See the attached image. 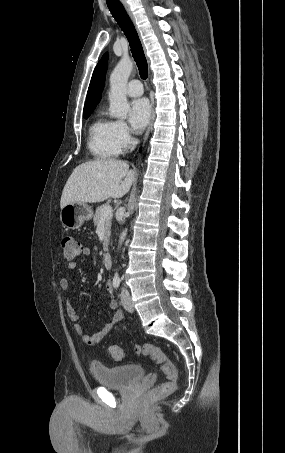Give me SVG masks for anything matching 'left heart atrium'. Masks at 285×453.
Instances as JSON below:
<instances>
[{
	"instance_id": "1",
	"label": "left heart atrium",
	"mask_w": 285,
	"mask_h": 453,
	"mask_svg": "<svg viewBox=\"0 0 285 453\" xmlns=\"http://www.w3.org/2000/svg\"><path fill=\"white\" fill-rule=\"evenodd\" d=\"M151 114L149 102L145 98H138L130 103L129 122L132 128L140 132L147 125Z\"/></svg>"
}]
</instances>
